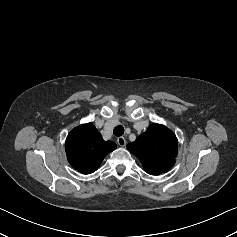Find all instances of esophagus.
Wrapping results in <instances>:
<instances>
[{
    "label": "esophagus",
    "mask_w": 237,
    "mask_h": 237,
    "mask_svg": "<svg viewBox=\"0 0 237 237\" xmlns=\"http://www.w3.org/2000/svg\"><path fill=\"white\" fill-rule=\"evenodd\" d=\"M117 143L119 146L124 147L126 145V140L124 137H118L117 138Z\"/></svg>",
    "instance_id": "esophagus-1"
}]
</instances>
